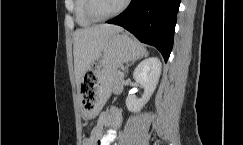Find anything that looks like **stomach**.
<instances>
[{
  "mask_svg": "<svg viewBox=\"0 0 243 145\" xmlns=\"http://www.w3.org/2000/svg\"><path fill=\"white\" fill-rule=\"evenodd\" d=\"M146 54L145 48L126 33H115L108 40L100 57L90 66L82 80L79 102L84 116H97L111 93L118 67Z\"/></svg>",
  "mask_w": 243,
  "mask_h": 145,
  "instance_id": "0dacf381",
  "label": "stomach"
}]
</instances>
